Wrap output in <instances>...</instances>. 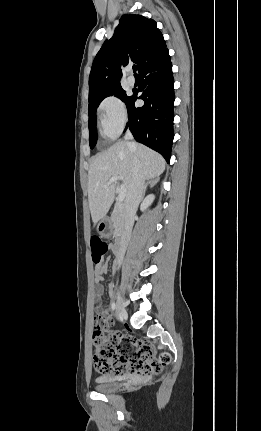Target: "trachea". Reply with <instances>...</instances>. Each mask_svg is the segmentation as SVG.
I'll return each mask as SVG.
<instances>
[{"mask_svg":"<svg viewBox=\"0 0 261 431\" xmlns=\"http://www.w3.org/2000/svg\"><path fill=\"white\" fill-rule=\"evenodd\" d=\"M136 70H137V67H136V66H133V71H134V73L136 72ZM134 75H137V74L135 73Z\"/></svg>","mask_w":261,"mask_h":431,"instance_id":"3493384b","label":"trachea"}]
</instances>
